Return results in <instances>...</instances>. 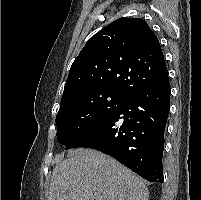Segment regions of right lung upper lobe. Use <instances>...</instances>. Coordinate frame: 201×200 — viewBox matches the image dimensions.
I'll list each match as a JSON object with an SVG mask.
<instances>
[{
	"label": "right lung upper lobe",
	"instance_id": "obj_1",
	"mask_svg": "<svg viewBox=\"0 0 201 200\" xmlns=\"http://www.w3.org/2000/svg\"><path fill=\"white\" fill-rule=\"evenodd\" d=\"M167 73L160 43L147 23L121 18L87 41L70 68L61 102L102 90L129 96Z\"/></svg>",
	"mask_w": 201,
	"mask_h": 200
}]
</instances>
